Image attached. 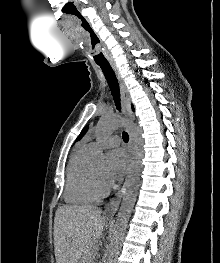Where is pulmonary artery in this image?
Returning <instances> with one entry per match:
<instances>
[{
	"label": "pulmonary artery",
	"mask_w": 220,
	"mask_h": 263,
	"mask_svg": "<svg viewBox=\"0 0 220 263\" xmlns=\"http://www.w3.org/2000/svg\"><path fill=\"white\" fill-rule=\"evenodd\" d=\"M120 138L117 135H112L109 137L104 138L101 141L98 142H91L87 144V146L92 150L96 151L100 148H106V147H113L120 144Z\"/></svg>",
	"instance_id": "1"
}]
</instances>
